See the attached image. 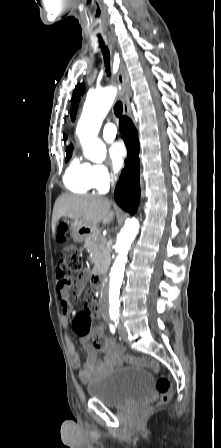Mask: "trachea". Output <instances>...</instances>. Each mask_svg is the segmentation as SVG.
<instances>
[{
    "label": "trachea",
    "instance_id": "3493384b",
    "mask_svg": "<svg viewBox=\"0 0 221 448\" xmlns=\"http://www.w3.org/2000/svg\"><path fill=\"white\" fill-rule=\"evenodd\" d=\"M99 42H100V47L102 48V53L104 56V62H105V66H106V72L107 75L110 76V54H109V50L108 48L104 45V42L101 38H99ZM123 112V106L121 101H117L114 105V114L116 115V117H120L122 115Z\"/></svg>",
    "mask_w": 221,
    "mask_h": 448
}]
</instances>
